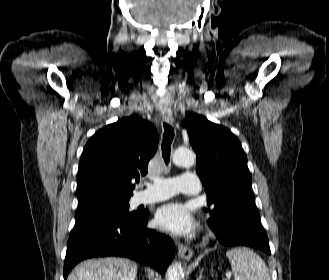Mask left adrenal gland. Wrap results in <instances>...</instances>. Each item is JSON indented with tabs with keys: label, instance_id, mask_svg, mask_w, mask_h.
Returning a JSON list of instances; mask_svg holds the SVG:
<instances>
[{
	"label": "left adrenal gland",
	"instance_id": "left-adrenal-gland-1",
	"mask_svg": "<svg viewBox=\"0 0 329 280\" xmlns=\"http://www.w3.org/2000/svg\"><path fill=\"white\" fill-rule=\"evenodd\" d=\"M203 277V269L200 271L199 277L197 278V280H201Z\"/></svg>",
	"mask_w": 329,
	"mask_h": 280
}]
</instances>
